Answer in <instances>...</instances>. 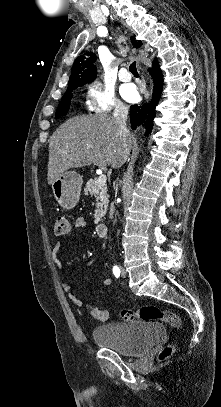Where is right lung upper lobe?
<instances>
[{
    "instance_id": "obj_1",
    "label": "right lung upper lobe",
    "mask_w": 221,
    "mask_h": 407,
    "mask_svg": "<svg viewBox=\"0 0 221 407\" xmlns=\"http://www.w3.org/2000/svg\"><path fill=\"white\" fill-rule=\"evenodd\" d=\"M132 42L135 39L132 37ZM136 47L140 45V41L134 44ZM96 60V55L92 52L85 53L74 61L69 78L68 90L76 89L88 82H91L96 77V66L93 63Z\"/></svg>"
}]
</instances>
